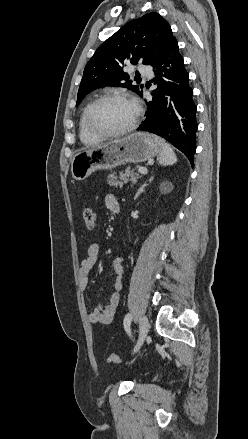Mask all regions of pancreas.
<instances>
[{"label":"pancreas","mask_w":248,"mask_h":439,"mask_svg":"<svg viewBox=\"0 0 248 439\" xmlns=\"http://www.w3.org/2000/svg\"><path fill=\"white\" fill-rule=\"evenodd\" d=\"M135 170L127 169L125 172H120L119 176L117 174L112 173L108 176V182L110 186H122L124 183H128L130 181H135L136 179ZM119 179V180H118Z\"/></svg>","instance_id":"obj_1"}]
</instances>
